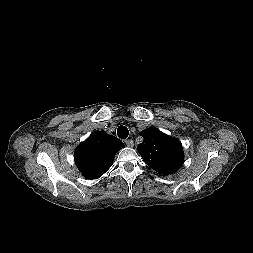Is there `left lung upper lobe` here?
Here are the masks:
<instances>
[{"mask_svg":"<svg viewBox=\"0 0 253 253\" xmlns=\"http://www.w3.org/2000/svg\"><path fill=\"white\" fill-rule=\"evenodd\" d=\"M143 142L137 151L144 162L161 175L177 171L184 162L181 142L161 132L156 127H149L141 132Z\"/></svg>","mask_w":253,"mask_h":253,"instance_id":"left-lung-upper-lobe-1","label":"left lung upper lobe"}]
</instances>
